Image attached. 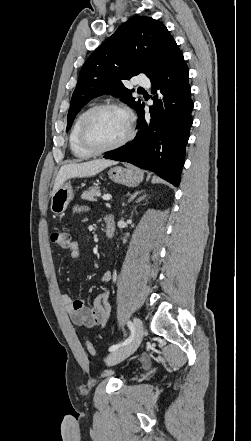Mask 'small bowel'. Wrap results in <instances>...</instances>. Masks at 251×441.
<instances>
[{
  "label": "small bowel",
  "instance_id": "small-bowel-1",
  "mask_svg": "<svg viewBox=\"0 0 251 441\" xmlns=\"http://www.w3.org/2000/svg\"><path fill=\"white\" fill-rule=\"evenodd\" d=\"M72 259L80 257V246L77 241L70 242L67 247ZM112 280V273L107 270L101 275V281L109 283ZM109 292L102 291L99 293L91 307L85 305L81 299H72L68 294H62L60 301L68 312L72 323L76 326L93 328L104 327L110 317V305L108 302Z\"/></svg>",
  "mask_w": 251,
  "mask_h": 441
}]
</instances>
